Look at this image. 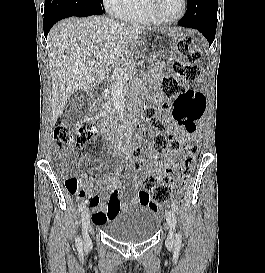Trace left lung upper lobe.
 Masks as SVG:
<instances>
[{
  "mask_svg": "<svg viewBox=\"0 0 265 273\" xmlns=\"http://www.w3.org/2000/svg\"><path fill=\"white\" fill-rule=\"evenodd\" d=\"M187 1H189V0H187ZM207 16L211 19L217 18V10L216 11L212 10Z\"/></svg>",
  "mask_w": 265,
  "mask_h": 273,
  "instance_id": "left-lung-upper-lobe-1",
  "label": "left lung upper lobe"
}]
</instances>
